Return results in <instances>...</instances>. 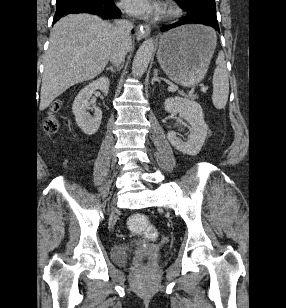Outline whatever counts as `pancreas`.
<instances>
[{"mask_svg": "<svg viewBox=\"0 0 286 308\" xmlns=\"http://www.w3.org/2000/svg\"><path fill=\"white\" fill-rule=\"evenodd\" d=\"M188 96H189L190 98H192V99H196V98H197V96L193 94V91H190L189 94H188Z\"/></svg>", "mask_w": 286, "mask_h": 308, "instance_id": "obj_1", "label": "pancreas"}]
</instances>
